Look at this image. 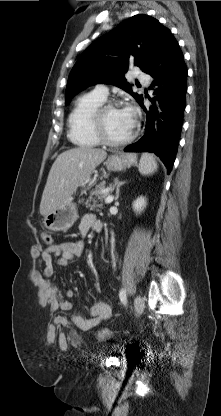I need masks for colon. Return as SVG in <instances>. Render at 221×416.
Returning <instances> with one entry per match:
<instances>
[{"label":"colon","mask_w":221,"mask_h":416,"mask_svg":"<svg viewBox=\"0 0 221 416\" xmlns=\"http://www.w3.org/2000/svg\"><path fill=\"white\" fill-rule=\"evenodd\" d=\"M42 241L45 245H51L53 242L52 235L49 232L42 233ZM99 340H108L112 337V332L108 329H101L96 333Z\"/></svg>","instance_id":"1"}]
</instances>
